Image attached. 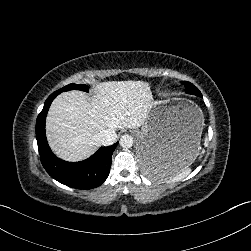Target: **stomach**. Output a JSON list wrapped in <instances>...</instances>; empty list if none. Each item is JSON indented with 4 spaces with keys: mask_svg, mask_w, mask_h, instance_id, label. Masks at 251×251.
Listing matches in <instances>:
<instances>
[{
    "mask_svg": "<svg viewBox=\"0 0 251 251\" xmlns=\"http://www.w3.org/2000/svg\"><path fill=\"white\" fill-rule=\"evenodd\" d=\"M151 93L147 118L135 132L138 162L147 175L153 164L177 173L199 153L204 114L194 101L168 94L162 84H152Z\"/></svg>",
    "mask_w": 251,
    "mask_h": 251,
    "instance_id": "stomach-1",
    "label": "stomach"
}]
</instances>
